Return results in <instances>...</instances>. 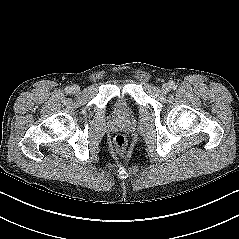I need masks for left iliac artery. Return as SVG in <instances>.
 <instances>
[{
	"instance_id": "44dca946",
	"label": "left iliac artery",
	"mask_w": 239,
	"mask_h": 239,
	"mask_svg": "<svg viewBox=\"0 0 239 239\" xmlns=\"http://www.w3.org/2000/svg\"><path fill=\"white\" fill-rule=\"evenodd\" d=\"M169 85H170V88H172V89H175V88H176V85H175V83H174L173 81H171V82L169 83Z\"/></svg>"
}]
</instances>
